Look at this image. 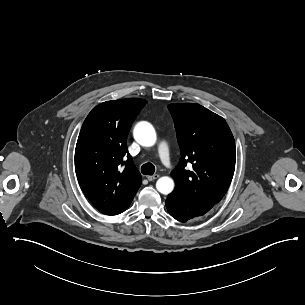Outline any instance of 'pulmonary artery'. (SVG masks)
<instances>
[{
  "label": "pulmonary artery",
  "mask_w": 305,
  "mask_h": 305,
  "mask_svg": "<svg viewBox=\"0 0 305 305\" xmlns=\"http://www.w3.org/2000/svg\"><path fill=\"white\" fill-rule=\"evenodd\" d=\"M157 154L161 160V164L164 167H167L168 171L173 172L176 169L175 164L171 163L169 158L170 156V149L167 146V142L160 141L157 145Z\"/></svg>",
  "instance_id": "e3ab8cb5"
}]
</instances>
